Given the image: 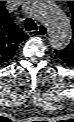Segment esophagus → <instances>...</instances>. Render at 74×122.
I'll use <instances>...</instances> for the list:
<instances>
[{"label": "esophagus", "mask_w": 74, "mask_h": 122, "mask_svg": "<svg viewBox=\"0 0 74 122\" xmlns=\"http://www.w3.org/2000/svg\"><path fill=\"white\" fill-rule=\"evenodd\" d=\"M47 33H48V29L43 24L38 25V29L37 30H33V31L29 32V34L31 36H39V37L46 36Z\"/></svg>", "instance_id": "34e87169"}]
</instances>
